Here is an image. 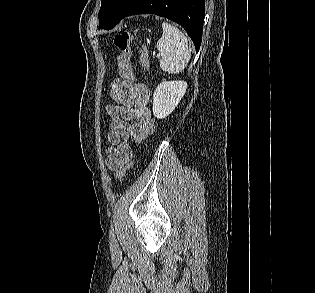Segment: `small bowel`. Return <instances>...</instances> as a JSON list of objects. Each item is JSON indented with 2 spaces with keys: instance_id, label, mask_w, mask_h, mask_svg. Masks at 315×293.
<instances>
[{
  "instance_id": "obj_1",
  "label": "small bowel",
  "mask_w": 315,
  "mask_h": 293,
  "mask_svg": "<svg viewBox=\"0 0 315 293\" xmlns=\"http://www.w3.org/2000/svg\"><path fill=\"white\" fill-rule=\"evenodd\" d=\"M111 86V85H110ZM118 92L110 95L115 105L106 107V112L111 118L108 132L109 146L106 150L107 166L117 171L128 162L134 152L129 141L136 144L144 142L154 132L155 123L148 107L150 92L146 85L132 83L128 85L123 79V84L118 85ZM135 119L136 122H131Z\"/></svg>"
}]
</instances>
